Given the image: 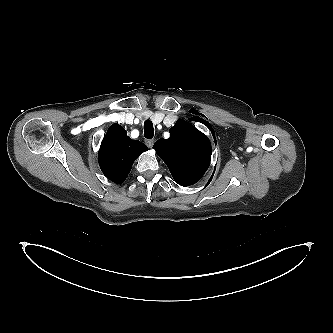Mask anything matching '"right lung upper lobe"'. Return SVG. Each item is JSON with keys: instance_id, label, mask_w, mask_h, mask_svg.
Here are the masks:
<instances>
[{"instance_id": "cb5924a9", "label": "right lung upper lobe", "mask_w": 333, "mask_h": 333, "mask_svg": "<svg viewBox=\"0 0 333 333\" xmlns=\"http://www.w3.org/2000/svg\"><path fill=\"white\" fill-rule=\"evenodd\" d=\"M148 150L140 141L132 140L126 130L115 123L104 136L99 150V165L104 175L115 183H122L134 161Z\"/></svg>"}]
</instances>
